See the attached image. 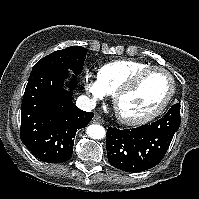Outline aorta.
Listing matches in <instances>:
<instances>
[{"label": "aorta", "mask_w": 199, "mask_h": 199, "mask_svg": "<svg viewBox=\"0 0 199 199\" xmlns=\"http://www.w3.org/2000/svg\"><path fill=\"white\" fill-rule=\"evenodd\" d=\"M86 133L92 139H103L106 135L105 129L101 125H90L86 129Z\"/></svg>", "instance_id": "aorta-1"}]
</instances>
